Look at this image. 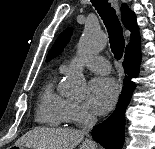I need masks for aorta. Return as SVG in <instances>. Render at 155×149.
<instances>
[{"label":"aorta","instance_id":"1","mask_svg":"<svg viewBox=\"0 0 155 149\" xmlns=\"http://www.w3.org/2000/svg\"><path fill=\"white\" fill-rule=\"evenodd\" d=\"M107 43L105 35L97 27L85 26L77 45V54L80 58L87 57L101 51ZM86 80L80 64H74L61 84V91L67 97L81 98L84 95Z\"/></svg>","mask_w":155,"mask_h":149}]
</instances>
